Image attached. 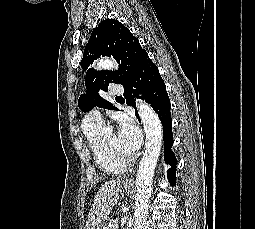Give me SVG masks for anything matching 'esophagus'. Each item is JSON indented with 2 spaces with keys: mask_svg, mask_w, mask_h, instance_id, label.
<instances>
[{
  "mask_svg": "<svg viewBox=\"0 0 255 229\" xmlns=\"http://www.w3.org/2000/svg\"><path fill=\"white\" fill-rule=\"evenodd\" d=\"M133 184H134V179L133 178H128L124 182V185H126V186H132Z\"/></svg>",
  "mask_w": 255,
  "mask_h": 229,
  "instance_id": "34e87169",
  "label": "esophagus"
}]
</instances>
